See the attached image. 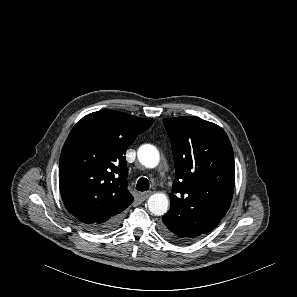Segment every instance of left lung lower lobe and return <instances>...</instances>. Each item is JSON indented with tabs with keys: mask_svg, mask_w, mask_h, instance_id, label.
<instances>
[{
	"mask_svg": "<svg viewBox=\"0 0 297 297\" xmlns=\"http://www.w3.org/2000/svg\"><path fill=\"white\" fill-rule=\"evenodd\" d=\"M161 233L162 235L171 242L183 244L191 242L189 239L182 237V234L177 229V225L174 222L172 213H166L162 217Z\"/></svg>",
	"mask_w": 297,
	"mask_h": 297,
	"instance_id": "1",
	"label": "left lung lower lobe"
}]
</instances>
